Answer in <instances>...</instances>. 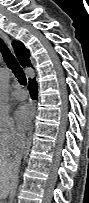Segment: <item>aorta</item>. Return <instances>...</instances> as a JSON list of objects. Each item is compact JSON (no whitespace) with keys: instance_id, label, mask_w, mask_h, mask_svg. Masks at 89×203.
Masks as SVG:
<instances>
[{"instance_id":"1","label":"aorta","mask_w":89,"mask_h":203,"mask_svg":"<svg viewBox=\"0 0 89 203\" xmlns=\"http://www.w3.org/2000/svg\"><path fill=\"white\" fill-rule=\"evenodd\" d=\"M9 72L6 71L4 74H3V77H2V86L3 88L8 84V81H9ZM9 96L7 94V92L3 89L1 94H0V112L2 115H8V112H9Z\"/></svg>"}]
</instances>
